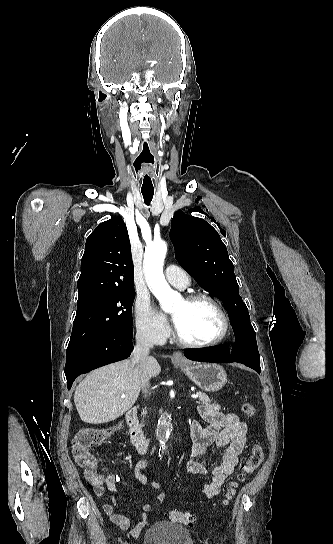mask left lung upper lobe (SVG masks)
<instances>
[{"label": "left lung upper lobe", "instance_id": "5c2ea615", "mask_svg": "<svg viewBox=\"0 0 333 544\" xmlns=\"http://www.w3.org/2000/svg\"><path fill=\"white\" fill-rule=\"evenodd\" d=\"M170 237L176 259L193 278L213 295L223 298L230 320L250 321L248 309L239 295V286L225 244L205 220L174 214Z\"/></svg>", "mask_w": 333, "mask_h": 544}]
</instances>
